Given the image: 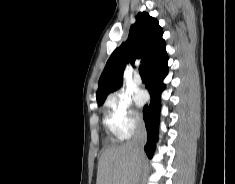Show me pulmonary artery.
<instances>
[{"instance_id":"1","label":"pulmonary artery","mask_w":235,"mask_h":184,"mask_svg":"<svg viewBox=\"0 0 235 184\" xmlns=\"http://www.w3.org/2000/svg\"><path fill=\"white\" fill-rule=\"evenodd\" d=\"M133 81L136 85H141L142 84V78L137 72H135V74L133 76Z\"/></svg>"}]
</instances>
